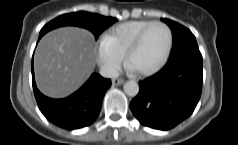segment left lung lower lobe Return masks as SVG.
<instances>
[{"instance_id":"0a47b994","label":"left lung lower lobe","mask_w":238,"mask_h":145,"mask_svg":"<svg viewBox=\"0 0 238 145\" xmlns=\"http://www.w3.org/2000/svg\"><path fill=\"white\" fill-rule=\"evenodd\" d=\"M202 55L198 47L169 58L155 75L140 81L131 101L134 116L145 126L169 130L194 111L202 92Z\"/></svg>"}]
</instances>
